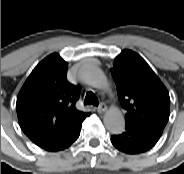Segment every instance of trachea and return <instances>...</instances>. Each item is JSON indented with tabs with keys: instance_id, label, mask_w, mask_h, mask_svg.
Listing matches in <instances>:
<instances>
[{
	"instance_id": "3493384b",
	"label": "trachea",
	"mask_w": 184,
	"mask_h": 174,
	"mask_svg": "<svg viewBox=\"0 0 184 174\" xmlns=\"http://www.w3.org/2000/svg\"><path fill=\"white\" fill-rule=\"evenodd\" d=\"M84 104L98 105V99L96 95L91 91L87 92Z\"/></svg>"
}]
</instances>
